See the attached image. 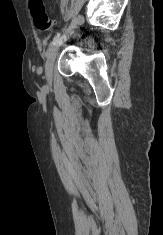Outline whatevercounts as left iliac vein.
Returning <instances> with one entry per match:
<instances>
[{
	"instance_id": "left-iliac-vein-1",
	"label": "left iliac vein",
	"mask_w": 163,
	"mask_h": 235,
	"mask_svg": "<svg viewBox=\"0 0 163 235\" xmlns=\"http://www.w3.org/2000/svg\"><path fill=\"white\" fill-rule=\"evenodd\" d=\"M59 47H60V44H57L52 48V50L49 53L48 59L46 61L45 72H46V77L48 80L52 79L54 62H55V58L58 53Z\"/></svg>"
}]
</instances>
